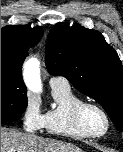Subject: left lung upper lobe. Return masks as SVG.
Masks as SVG:
<instances>
[{"mask_svg": "<svg viewBox=\"0 0 123 152\" xmlns=\"http://www.w3.org/2000/svg\"><path fill=\"white\" fill-rule=\"evenodd\" d=\"M46 65L51 75L66 77L101 104L117 130L123 131V67L100 32L55 25L47 38Z\"/></svg>", "mask_w": 123, "mask_h": 152, "instance_id": "left-lung-upper-lobe-1", "label": "left lung upper lobe"}]
</instances>
